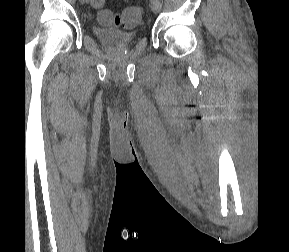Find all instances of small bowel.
Listing matches in <instances>:
<instances>
[{
  "instance_id": "obj_1",
  "label": "small bowel",
  "mask_w": 289,
  "mask_h": 252,
  "mask_svg": "<svg viewBox=\"0 0 289 252\" xmlns=\"http://www.w3.org/2000/svg\"><path fill=\"white\" fill-rule=\"evenodd\" d=\"M92 5H94V0H92Z\"/></svg>"
}]
</instances>
